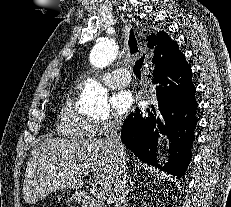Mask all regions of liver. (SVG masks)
Segmentation results:
<instances>
[{
	"label": "liver",
	"instance_id": "liver-1",
	"mask_svg": "<svg viewBox=\"0 0 231 207\" xmlns=\"http://www.w3.org/2000/svg\"><path fill=\"white\" fill-rule=\"evenodd\" d=\"M119 165V158L102 139L47 138L31 151L24 178V200L32 204L53 191L77 190L83 186V175L90 173L112 201Z\"/></svg>",
	"mask_w": 231,
	"mask_h": 207
}]
</instances>
